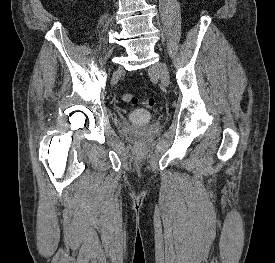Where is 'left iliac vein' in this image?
Segmentation results:
<instances>
[{
	"mask_svg": "<svg viewBox=\"0 0 275 263\" xmlns=\"http://www.w3.org/2000/svg\"><path fill=\"white\" fill-rule=\"evenodd\" d=\"M150 70L156 73L164 86H168L169 84V72L166 65L162 62H157L152 65Z\"/></svg>",
	"mask_w": 275,
	"mask_h": 263,
	"instance_id": "obj_1",
	"label": "left iliac vein"
}]
</instances>
